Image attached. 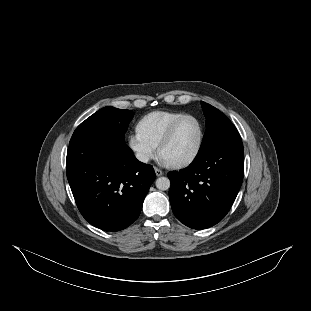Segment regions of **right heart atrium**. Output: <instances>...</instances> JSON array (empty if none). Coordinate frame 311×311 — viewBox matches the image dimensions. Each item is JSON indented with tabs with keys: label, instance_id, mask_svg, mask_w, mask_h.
I'll use <instances>...</instances> for the list:
<instances>
[{
	"label": "right heart atrium",
	"instance_id": "1",
	"mask_svg": "<svg viewBox=\"0 0 311 311\" xmlns=\"http://www.w3.org/2000/svg\"><path fill=\"white\" fill-rule=\"evenodd\" d=\"M127 146L135 159L142 164H147L156 156V150L143 142L136 134L129 135Z\"/></svg>",
	"mask_w": 311,
	"mask_h": 311
}]
</instances>
